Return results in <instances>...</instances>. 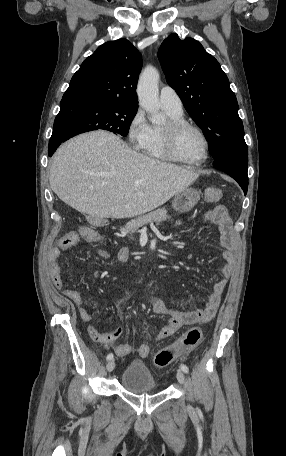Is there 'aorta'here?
Instances as JSON below:
<instances>
[{"label":"aorta","instance_id":"obj_1","mask_svg":"<svg viewBox=\"0 0 286 456\" xmlns=\"http://www.w3.org/2000/svg\"><path fill=\"white\" fill-rule=\"evenodd\" d=\"M159 78L157 69L149 66L141 73L137 85L139 104L150 114L149 120L153 124H161L165 121V116L160 112L158 99Z\"/></svg>","mask_w":286,"mask_h":456}]
</instances>
